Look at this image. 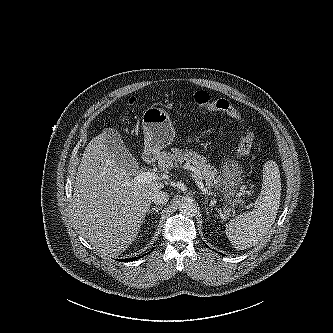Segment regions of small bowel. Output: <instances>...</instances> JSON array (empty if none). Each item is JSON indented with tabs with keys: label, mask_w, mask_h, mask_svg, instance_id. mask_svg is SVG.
Wrapping results in <instances>:
<instances>
[{
	"label": "small bowel",
	"mask_w": 333,
	"mask_h": 333,
	"mask_svg": "<svg viewBox=\"0 0 333 333\" xmlns=\"http://www.w3.org/2000/svg\"><path fill=\"white\" fill-rule=\"evenodd\" d=\"M212 133V130H205L203 132H201L200 134L193 136V137H189L187 140L190 143H197L199 142L201 139H203L204 137L210 135Z\"/></svg>",
	"instance_id": "obj_1"
}]
</instances>
